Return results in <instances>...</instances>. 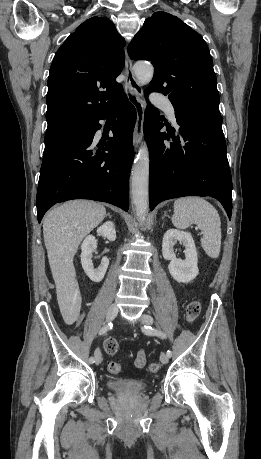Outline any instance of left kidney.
Segmentation results:
<instances>
[{
	"mask_svg": "<svg viewBox=\"0 0 261 459\" xmlns=\"http://www.w3.org/2000/svg\"><path fill=\"white\" fill-rule=\"evenodd\" d=\"M177 241L185 246V260L176 258L174 245ZM162 255L170 260L168 270L171 276L179 283H189L198 275V257L192 235L176 229H169L163 236Z\"/></svg>",
	"mask_w": 261,
	"mask_h": 459,
	"instance_id": "1",
	"label": "left kidney"
}]
</instances>
